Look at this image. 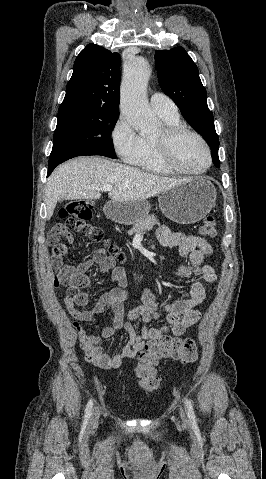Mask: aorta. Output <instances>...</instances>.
<instances>
[{
    "instance_id": "762f6f07",
    "label": "aorta",
    "mask_w": 266,
    "mask_h": 479,
    "mask_svg": "<svg viewBox=\"0 0 266 479\" xmlns=\"http://www.w3.org/2000/svg\"><path fill=\"white\" fill-rule=\"evenodd\" d=\"M150 73L148 62L142 57H135L125 64L121 84L122 115L141 134L153 133L161 126L159 118L151 110L146 97Z\"/></svg>"
}]
</instances>
